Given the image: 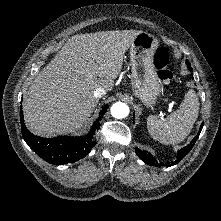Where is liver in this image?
Wrapping results in <instances>:
<instances>
[{"label": "liver", "mask_w": 221, "mask_h": 221, "mask_svg": "<svg viewBox=\"0 0 221 221\" xmlns=\"http://www.w3.org/2000/svg\"><path fill=\"white\" fill-rule=\"evenodd\" d=\"M140 33L100 31L69 38L28 89L23 104L28 128L44 137L80 129L98 104L94 91L112 90L124 55Z\"/></svg>", "instance_id": "1"}]
</instances>
